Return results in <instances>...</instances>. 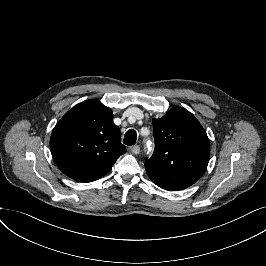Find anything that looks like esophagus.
Instances as JSON below:
<instances>
[{"mask_svg": "<svg viewBox=\"0 0 266 266\" xmlns=\"http://www.w3.org/2000/svg\"><path fill=\"white\" fill-rule=\"evenodd\" d=\"M130 152L137 155L140 153V147L138 145L131 146L129 148Z\"/></svg>", "mask_w": 266, "mask_h": 266, "instance_id": "34e87169", "label": "esophagus"}]
</instances>
